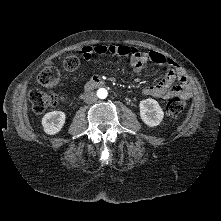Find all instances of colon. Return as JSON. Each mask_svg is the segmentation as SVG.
<instances>
[{"label": "colon", "mask_w": 221, "mask_h": 221, "mask_svg": "<svg viewBox=\"0 0 221 221\" xmlns=\"http://www.w3.org/2000/svg\"><path fill=\"white\" fill-rule=\"evenodd\" d=\"M80 60L76 55H69L63 60V67L66 70L73 71L78 68ZM61 73L58 68L49 66L41 70L38 75V82L45 88H53L60 82ZM29 100L35 113L41 114L48 109L55 107L59 98L38 88H33L29 92ZM186 102L180 97L171 98L166 105V112L170 116H178L184 112Z\"/></svg>", "instance_id": "colon-1"}]
</instances>
